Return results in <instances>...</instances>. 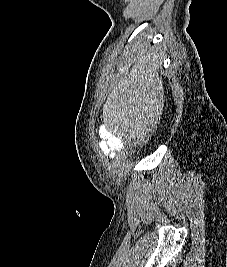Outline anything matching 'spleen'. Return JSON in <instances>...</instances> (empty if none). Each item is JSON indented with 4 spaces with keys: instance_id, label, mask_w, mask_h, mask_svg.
Wrapping results in <instances>:
<instances>
[{
    "instance_id": "obj_1",
    "label": "spleen",
    "mask_w": 227,
    "mask_h": 267,
    "mask_svg": "<svg viewBox=\"0 0 227 267\" xmlns=\"http://www.w3.org/2000/svg\"><path fill=\"white\" fill-rule=\"evenodd\" d=\"M138 43H149V38H138ZM163 59L153 52L139 57L131 76L122 80L114 90V100H108L103 115H159L163 105L162 81L156 76ZM138 106H129V105ZM128 105V106H127ZM103 129H113L117 137L140 140L146 129H152L156 116H102Z\"/></svg>"
}]
</instances>
